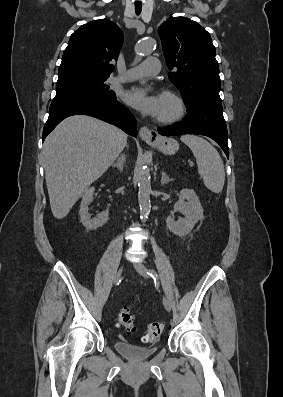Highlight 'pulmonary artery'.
Instances as JSON below:
<instances>
[{
  "label": "pulmonary artery",
  "mask_w": 283,
  "mask_h": 397,
  "mask_svg": "<svg viewBox=\"0 0 283 397\" xmlns=\"http://www.w3.org/2000/svg\"><path fill=\"white\" fill-rule=\"evenodd\" d=\"M160 71V62L156 57H149L138 66L129 69L122 76L115 77V81H133L144 76H153Z\"/></svg>",
  "instance_id": "e3ab8cb5"
}]
</instances>
